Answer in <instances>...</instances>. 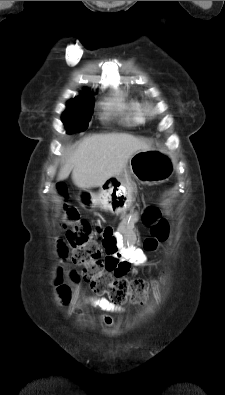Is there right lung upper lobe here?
I'll use <instances>...</instances> for the list:
<instances>
[{
  "instance_id": "cb5924a9",
  "label": "right lung upper lobe",
  "mask_w": 225,
  "mask_h": 395,
  "mask_svg": "<svg viewBox=\"0 0 225 395\" xmlns=\"http://www.w3.org/2000/svg\"><path fill=\"white\" fill-rule=\"evenodd\" d=\"M78 97H84V98H87V97H92L91 96V94L90 93H83L81 96H78Z\"/></svg>"
}]
</instances>
